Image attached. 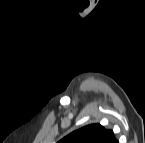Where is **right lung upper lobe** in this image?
Returning <instances> with one entry per match:
<instances>
[{
  "label": "right lung upper lobe",
  "mask_w": 145,
  "mask_h": 143,
  "mask_svg": "<svg viewBox=\"0 0 145 143\" xmlns=\"http://www.w3.org/2000/svg\"><path fill=\"white\" fill-rule=\"evenodd\" d=\"M111 130L104 129L100 124H91L76 130L59 143H117Z\"/></svg>",
  "instance_id": "obj_1"
}]
</instances>
